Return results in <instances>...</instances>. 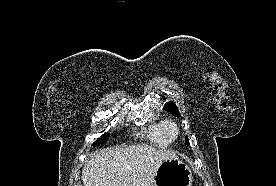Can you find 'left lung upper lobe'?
<instances>
[{"mask_svg": "<svg viewBox=\"0 0 276 186\" xmlns=\"http://www.w3.org/2000/svg\"><path fill=\"white\" fill-rule=\"evenodd\" d=\"M164 109L170 111L171 113H173L174 115L180 117V113L178 111V108L176 107V105L172 102H168L165 104ZM186 143L189 144V140L186 137Z\"/></svg>", "mask_w": 276, "mask_h": 186, "instance_id": "1", "label": "left lung upper lobe"}]
</instances>
